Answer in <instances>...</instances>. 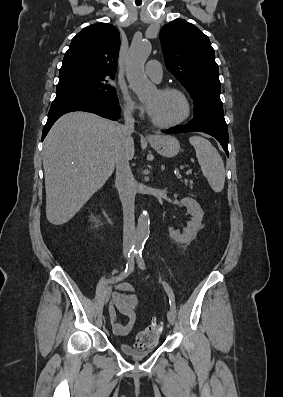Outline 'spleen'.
Here are the masks:
<instances>
[{"mask_svg": "<svg viewBox=\"0 0 283 397\" xmlns=\"http://www.w3.org/2000/svg\"><path fill=\"white\" fill-rule=\"evenodd\" d=\"M193 145L203 175L213 191L221 192L225 183L224 163L216 148L207 139L200 136L189 138Z\"/></svg>", "mask_w": 283, "mask_h": 397, "instance_id": "3e777b00", "label": "spleen"}]
</instances>
